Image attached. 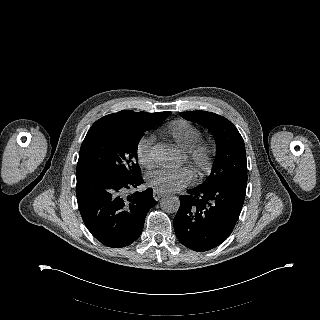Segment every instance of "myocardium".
<instances>
[{"instance_id":"1","label":"myocardium","mask_w":320,"mask_h":320,"mask_svg":"<svg viewBox=\"0 0 320 320\" xmlns=\"http://www.w3.org/2000/svg\"><path fill=\"white\" fill-rule=\"evenodd\" d=\"M184 158L197 170H204L208 162V147L205 143L197 141L183 149Z\"/></svg>"}]
</instances>
